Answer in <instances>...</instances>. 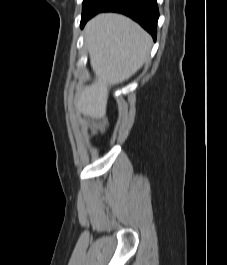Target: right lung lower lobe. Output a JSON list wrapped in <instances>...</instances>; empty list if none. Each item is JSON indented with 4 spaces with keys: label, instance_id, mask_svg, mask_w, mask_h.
<instances>
[{
    "label": "right lung lower lobe",
    "instance_id": "98d812e1",
    "mask_svg": "<svg viewBox=\"0 0 227 265\" xmlns=\"http://www.w3.org/2000/svg\"><path fill=\"white\" fill-rule=\"evenodd\" d=\"M100 12H118L138 22L156 40L159 12L156 0H104L97 10L81 21V27L88 19Z\"/></svg>",
    "mask_w": 227,
    "mask_h": 265
}]
</instances>
